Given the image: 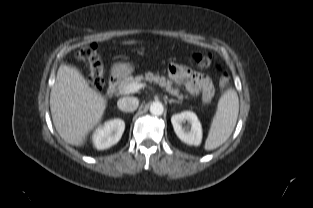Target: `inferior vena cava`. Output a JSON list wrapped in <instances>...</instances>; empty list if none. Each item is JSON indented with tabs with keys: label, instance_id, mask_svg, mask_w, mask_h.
Returning a JSON list of instances; mask_svg holds the SVG:
<instances>
[{
	"label": "inferior vena cava",
	"instance_id": "602c4592",
	"mask_svg": "<svg viewBox=\"0 0 313 208\" xmlns=\"http://www.w3.org/2000/svg\"><path fill=\"white\" fill-rule=\"evenodd\" d=\"M139 100L135 97H123L117 102V106L121 111L133 112L138 108Z\"/></svg>",
	"mask_w": 313,
	"mask_h": 208
}]
</instances>
